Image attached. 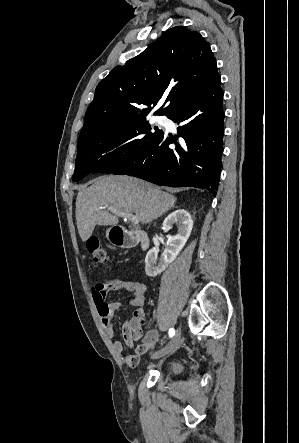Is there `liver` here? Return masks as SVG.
<instances>
[{"mask_svg": "<svg viewBox=\"0 0 299 443\" xmlns=\"http://www.w3.org/2000/svg\"><path fill=\"white\" fill-rule=\"evenodd\" d=\"M80 189L76 199V221L82 241L96 225H115L118 212L134 213L142 224L157 219L172 207L176 197L143 180L128 176H100Z\"/></svg>", "mask_w": 299, "mask_h": 443, "instance_id": "6515ba94", "label": "liver"}]
</instances>
